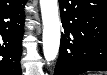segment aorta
Masks as SVG:
<instances>
[{"label":"aorta","mask_w":107,"mask_h":75,"mask_svg":"<svg viewBox=\"0 0 107 75\" xmlns=\"http://www.w3.org/2000/svg\"><path fill=\"white\" fill-rule=\"evenodd\" d=\"M43 21V53L47 62L56 59L60 46L57 0H40Z\"/></svg>","instance_id":"1"}]
</instances>
